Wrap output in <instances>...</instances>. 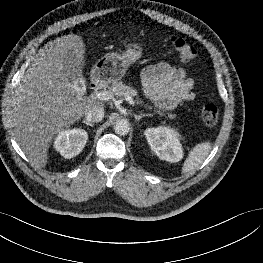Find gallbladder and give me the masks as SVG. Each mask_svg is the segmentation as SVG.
Listing matches in <instances>:
<instances>
[{"label":"gallbladder","mask_w":263,"mask_h":263,"mask_svg":"<svg viewBox=\"0 0 263 263\" xmlns=\"http://www.w3.org/2000/svg\"><path fill=\"white\" fill-rule=\"evenodd\" d=\"M65 60L67 62H72L73 65H74V68H71L70 69V73L68 75V78L70 80V82L72 84H75L80 78L81 76L79 75L77 69L75 68V56L74 55H71L70 53L66 56Z\"/></svg>","instance_id":"bac80fb5"}]
</instances>
